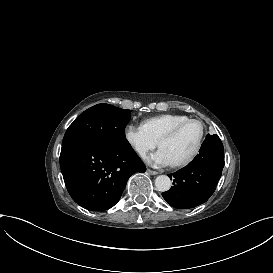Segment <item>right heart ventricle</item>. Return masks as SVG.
<instances>
[{
    "mask_svg": "<svg viewBox=\"0 0 273 273\" xmlns=\"http://www.w3.org/2000/svg\"><path fill=\"white\" fill-rule=\"evenodd\" d=\"M188 119H190V117L184 114H163L148 118L144 120L142 124L147 128L150 134L159 141L164 133Z\"/></svg>",
    "mask_w": 273,
    "mask_h": 273,
    "instance_id": "right-heart-ventricle-1",
    "label": "right heart ventricle"
}]
</instances>
